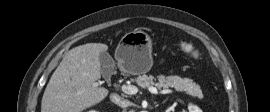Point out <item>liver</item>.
Returning a JSON list of instances; mask_svg holds the SVG:
<instances>
[{
  "label": "liver",
  "mask_w": 270,
  "mask_h": 112,
  "mask_svg": "<svg viewBox=\"0 0 270 112\" xmlns=\"http://www.w3.org/2000/svg\"><path fill=\"white\" fill-rule=\"evenodd\" d=\"M108 46L87 43L71 49L52 74L41 101V112H81L106 98L109 91L99 87V56Z\"/></svg>",
  "instance_id": "1"
}]
</instances>
